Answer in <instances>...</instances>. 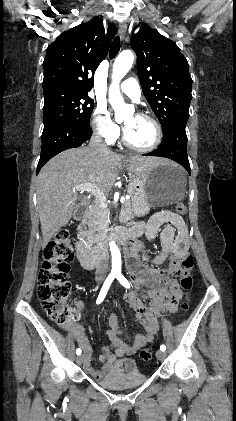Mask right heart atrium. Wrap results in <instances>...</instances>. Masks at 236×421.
Wrapping results in <instances>:
<instances>
[{
	"instance_id": "right-heart-atrium-1",
	"label": "right heart atrium",
	"mask_w": 236,
	"mask_h": 421,
	"mask_svg": "<svg viewBox=\"0 0 236 421\" xmlns=\"http://www.w3.org/2000/svg\"><path fill=\"white\" fill-rule=\"evenodd\" d=\"M92 129L95 135L106 143L115 141L119 136V128L102 104H98L92 112Z\"/></svg>"
}]
</instances>
